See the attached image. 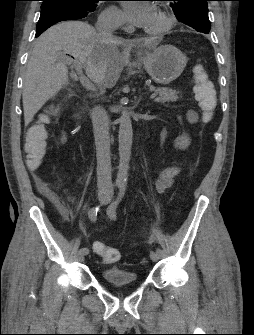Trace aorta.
I'll list each match as a JSON object with an SVG mask.
<instances>
[{"label": "aorta", "instance_id": "obj_1", "mask_svg": "<svg viewBox=\"0 0 254 335\" xmlns=\"http://www.w3.org/2000/svg\"><path fill=\"white\" fill-rule=\"evenodd\" d=\"M119 166L116 176V185L125 186L128 179L129 162L132 148L133 129L130 114L127 110L122 112L119 119Z\"/></svg>", "mask_w": 254, "mask_h": 335}]
</instances>
